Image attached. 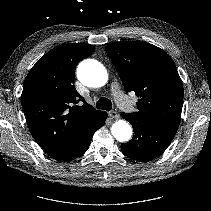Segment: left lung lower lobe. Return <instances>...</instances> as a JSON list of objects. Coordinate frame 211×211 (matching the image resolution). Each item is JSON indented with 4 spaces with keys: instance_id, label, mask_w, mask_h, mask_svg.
I'll return each instance as SVG.
<instances>
[{
    "instance_id": "obj_1",
    "label": "left lung lower lobe",
    "mask_w": 211,
    "mask_h": 211,
    "mask_svg": "<svg viewBox=\"0 0 211 211\" xmlns=\"http://www.w3.org/2000/svg\"><path fill=\"white\" fill-rule=\"evenodd\" d=\"M121 115L132 124L135 133L129 142L121 145V151L125 156L140 162L161 155L178 129L177 125L141 122L125 113Z\"/></svg>"
}]
</instances>
